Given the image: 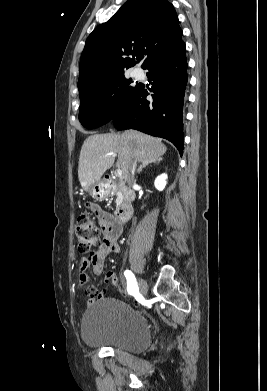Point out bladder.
<instances>
[{
  "mask_svg": "<svg viewBox=\"0 0 267 391\" xmlns=\"http://www.w3.org/2000/svg\"><path fill=\"white\" fill-rule=\"evenodd\" d=\"M81 338L90 347H107L140 353L151 341L147 320L128 304L116 298L93 303L84 313Z\"/></svg>",
  "mask_w": 267,
  "mask_h": 391,
  "instance_id": "obj_1",
  "label": "bladder"
}]
</instances>
